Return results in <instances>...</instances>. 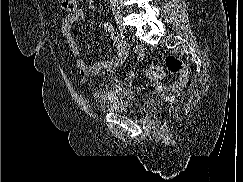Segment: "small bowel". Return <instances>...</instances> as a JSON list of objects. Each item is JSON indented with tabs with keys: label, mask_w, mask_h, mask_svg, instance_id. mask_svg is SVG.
<instances>
[{
	"label": "small bowel",
	"mask_w": 243,
	"mask_h": 182,
	"mask_svg": "<svg viewBox=\"0 0 243 182\" xmlns=\"http://www.w3.org/2000/svg\"><path fill=\"white\" fill-rule=\"evenodd\" d=\"M83 19L84 11L82 9H77L75 12L66 15L61 21V32L67 41L69 50L75 57L76 66L79 69L82 84L85 86H91V76L98 75L102 71H113L123 65L129 53V45L123 40L116 39L113 34L112 26L108 22H103L102 27L110 34V41L115 46L116 50L111 59L108 61H98L92 64L86 63L80 56L81 50L76 42L73 32L74 25ZM138 55H143V51L141 49L138 50ZM132 82L133 76L129 74L125 83L115 81L114 84L106 91H95L94 98L99 102H115L124 91L125 86H131ZM130 91V89H125V93H129Z\"/></svg>",
	"instance_id": "small-bowel-1"
}]
</instances>
